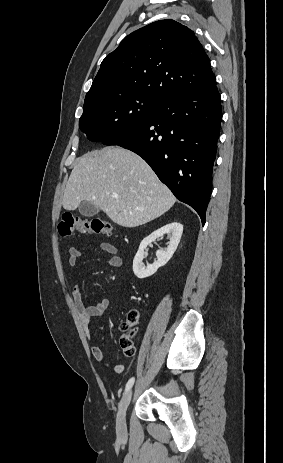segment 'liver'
<instances>
[{
    "mask_svg": "<svg viewBox=\"0 0 283 463\" xmlns=\"http://www.w3.org/2000/svg\"><path fill=\"white\" fill-rule=\"evenodd\" d=\"M83 201L118 225L132 228L163 215L176 198L140 156L121 147H105L80 157L70 174L63 208L75 210Z\"/></svg>",
    "mask_w": 283,
    "mask_h": 463,
    "instance_id": "6515ba94",
    "label": "liver"
}]
</instances>
